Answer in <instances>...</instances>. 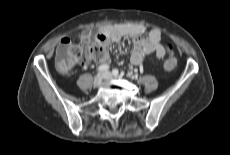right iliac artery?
<instances>
[{"instance_id": "right-iliac-artery-1", "label": "right iliac artery", "mask_w": 230, "mask_h": 155, "mask_svg": "<svg viewBox=\"0 0 230 155\" xmlns=\"http://www.w3.org/2000/svg\"><path fill=\"white\" fill-rule=\"evenodd\" d=\"M108 69H109V66L106 64H103V65H100L97 70L99 73H101V72L107 71Z\"/></svg>"}]
</instances>
